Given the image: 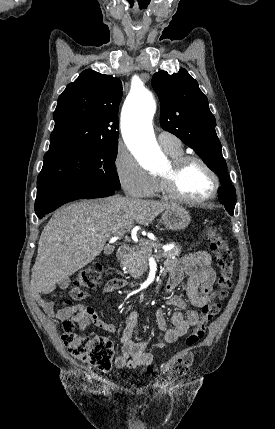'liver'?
<instances>
[{"label":"liver","mask_w":275,"mask_h":429,"mask_svg":"<svg viewBox=\"0 0 275 429\" xmlns=\"http://www.w3.org/2000/svg\"><path fill=\"white\" fill-rule=\"evenodd\" d=\"M175 203L112 196L61 207L44 227L38 242L31 286L49 293L91 263L113 235L148 226Z\"/></svg>","instance_id":"liver-1"}]
</instances>
